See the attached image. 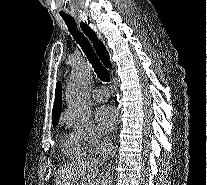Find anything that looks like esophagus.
I'll return each mask as SVG.
<instances>
[{
    "mask_svg": "<svg viewBox=\"0 0 207 185\" xmlns=\"http://www.w3.org/2000/svg\"><path fill=\"white\" fill-rule=\"evenodd\" d=\"M79 13H82V10H79ZM80 21H78V26L81 30H92L94 28L92 25H83L87 24V19H82V16H79ZM95 30V29H94ZM97 32V30H95ZM86 38H89V43L93 44V48H106V50H97V55H106L99 56V61L103 62V67H114V62H112V56L110 50L107 48V43H101L102 33H86ZM111 79L113 82L114 94H113V102L116 108V117L119 119V108H120V97L117 90V82L113 75L111 74Z\"/></svg>",
    "mask_w": 207,
    "mask_h": 185,
    "instance_id": "34e87169",
    "label": "esophagus"
}]
</instances>
